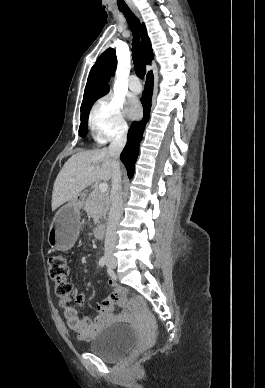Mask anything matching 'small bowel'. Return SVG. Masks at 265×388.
Here are the masks:
<instances>
[{
	"label": "small bowel",
	"mask_w": 265,
	"mask_h": 388,
	"mask_svg": "<svg viewBox=\"0 0 265 388\" xmlns=\"http://www.w3.org/2000/svg\"><path fill=\"white\" fill-rule=\"evenodd\" d=\"M109 286L114 289L112 301H102L96 304L98 315L94 320L81 318L73 306L63 305L65 323H60V329L62 331L69 329L75 332L80 340L89 341L106 325L121 321L123 317L115 314L114 310L117 306L126 304L125 293L114 279L109 280ZM73 297L77 304H81L84 301V294L77 289H74Z\"/></svg>",
	"instance_id": "1"
}]
</instances>
